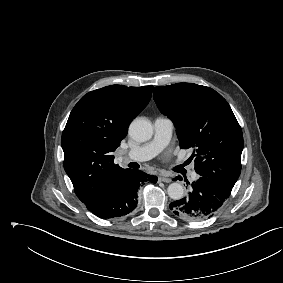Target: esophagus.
Here are the masks:
<instances>
[{
    "label": "esophagus",
    "instance_id": "esophagus-1",
    "mask_svg": "<svg viewBox=\"0 0 283 283\" xmlns=\"http://www.w3.org/2000/svg\"><path fill=\"white\" fill-rule=\"evenodd\" d=\"M159 181L161 182H165V183H170L171 182V178L164 176V175H160L158 178Z\"/></svg>",
    "mask_w": 283,
    "mask_h": 283
}]
</instances>
